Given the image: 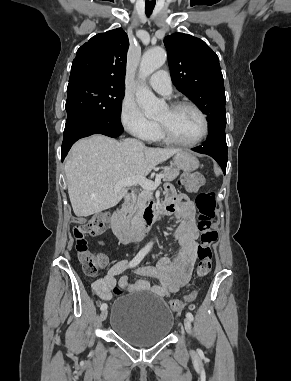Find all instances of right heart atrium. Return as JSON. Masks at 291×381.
<instances>
[{
  "label": "right heart atrium",
  "instance_id": "right-heart-atrium-1",
  "mask_svg": "<svg viewBox=\"0 0 291 381\" xmlns=\"http://www.w3.org/2000/svg\"><path fill=\"white\" fill-rule=\"evenodd\" d=\"M120 121L128 132L141 139H148L156 129V124L146 118L137 103L129 97L122 100Z\"/></svg>",
  "mask_w": 291,
  "mask_h": 381
}]
</instances>
